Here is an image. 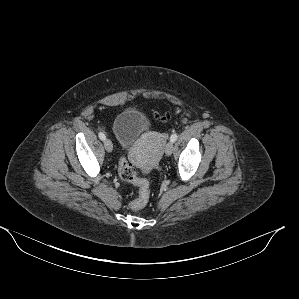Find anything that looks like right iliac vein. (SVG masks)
I'll return each instance as SVG.
<instances>
[{
  "instance_id": "63e3f726",
  "label": "right iliac vein",
  "mask_w": 299,
  "mask_h": 299,
  "mask_svg": "<svg viewBox=\"0 0 299 299\" xmlns=\"http://www.w3.org/2000/svg\"><path fill=\"white\" fill-rule=\"evenodd\" d=\"M104 147H105L107 152H112L113 151V144H112L111 140L105 139L104 140Z\"/></svg>"
}]
</instances>
